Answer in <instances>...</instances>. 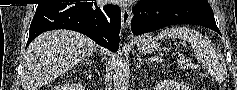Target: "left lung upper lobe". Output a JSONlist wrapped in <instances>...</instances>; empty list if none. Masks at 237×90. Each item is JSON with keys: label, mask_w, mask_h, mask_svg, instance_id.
I'll return each mask as SVG.
<instances>
[{"label": "left lung upper lobe", "mask_w": 237, "mask_h": 90, "mask_svg": "<svg viewBox=\"0 0 237 90\" xmlns=\"http://www.w3.org/2000/svg\"><path fill=\"white\" fill-rule=\"evenodd\" d=\"M193 6L210 7L206 0H181Z\"/></svg>", "instance_id": "5c2ea615"}]
</instances>
